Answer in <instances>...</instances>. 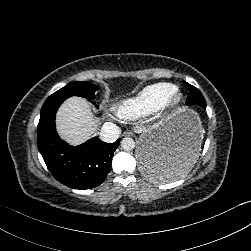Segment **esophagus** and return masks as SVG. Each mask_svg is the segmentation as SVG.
Returning a JSON list of instances; mask_svg holds the SVG:
<instances>
[{
  "instance_id": "1",
  "label": "esophagus",
  "mask_w": 251,
  "mask_h": 251,
  "mask_svg": "<svg viewBox=\"0 0 251 251\" xmlns=\"http://www.w3.org/2000/svg\"><path fill=\"white\" fill-rule=\"evenodd\" d=\"M131 134H132V133H130V132H124V133H123L124 136H130Z\"/></svg>"
}]
</instances>
